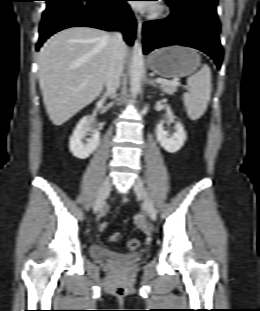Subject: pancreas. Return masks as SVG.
Masks as SVG:
<instances>
[{
    "label": "pancreas",
    "instance_id": "obj_1",
    "mask_svg": "<svg viewBox=\"0 0 260 311\" xmlns=\"http://www.w3.org/2000/svg\"><path fill=\"white\" fill-rule=\"evenodd\" d=\"M160 87H161L163 92H165L169 95H173L177 91L176 85L161 84Z\"/></svg>",
    "mask_w": 260,
    "mask_h": 311
}]
</instances>
